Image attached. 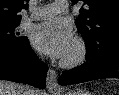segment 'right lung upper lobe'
<instances>
[{
	"instance_id": "obj_1",
	"label": "right lung upper lobe",
	"mask_w": 119,
	"mask_h": 95,
	"mask_svg": "<svg viewBox=\"0 0 119 95\" xmlns=\"http://www.w3.org/2000/svg\"><path fill=\"white\" fill-rule=\"evenodd\" d=\"M29 0H0V25L20 22L22 9H27Z\"/></svg>"
}]
</instances>
